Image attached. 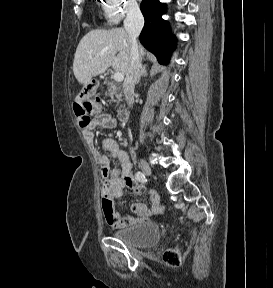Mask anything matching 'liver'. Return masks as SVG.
Masks as SVG:
<instances>
[{
	"mask_svg": "<svg viewBox=\"0 0 273 288\" xmlns=\"http://www.w3.org/2000/svg\"><path fill=\"white\" fill-rule=\"evenodd\" d=\"M131 53L130 38L126 30L95 29L88 32L79 42L73 62V72L79 83L86 86L92 79L112 67L126 75ZM144 56V48L139 46Z\"/></svg>",
	"mask_w": 273,
	"mask_h": 288,
	"instance_id": "1",
	"label": "liver"
}]
</instances>
